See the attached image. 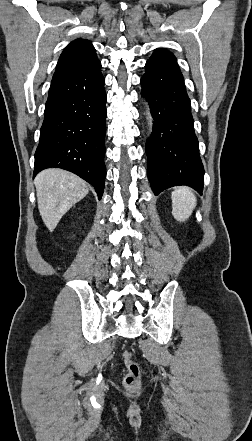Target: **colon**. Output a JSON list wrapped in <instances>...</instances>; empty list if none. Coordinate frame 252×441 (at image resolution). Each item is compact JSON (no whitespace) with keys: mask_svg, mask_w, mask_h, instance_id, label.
I'll return each mask as SVG.
<instances>
[{"mask_svg":"<svg viewBox=\"0 0 252 441\" xmlns=\"http://www.w3.org/2000/svg\"><path fill=\"white\" fill-rule=\"evenodd\" d=\"M123 360L127 368V375L124 381L125 385L130 389H136L140 381V366L134 359V355L131 351H125L123 353Z\"/></svg>","mask_w":252,"mask_h":441,"instance_id":"5ec220e1","label":"colon"}]
</instances>
